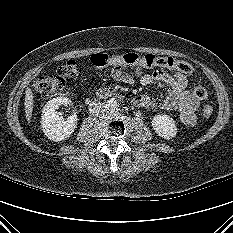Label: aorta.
I'll return each instance as SVG.
<instances>
[{"label": "aorta", "mask_w": 233, "mask_h": 233, "mask_svg": "<svg viewBox=\"0 0 233 233\" xmlns=\"http://www.w3.org/2000/svg\"><path fill=\"white\" fill-rule=\"evenodd\" d=\"M118 106H119V104H118L117 100H115V99L108 100L107 104H106L107 109L111 110V111L116 110L118 108Z\"/></svg>", "instance_id": "1"}]
</instances>
